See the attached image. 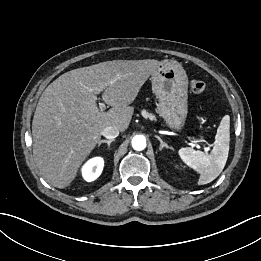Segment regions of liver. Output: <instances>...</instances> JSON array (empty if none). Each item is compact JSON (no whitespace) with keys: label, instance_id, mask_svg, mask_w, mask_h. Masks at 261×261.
Here are the masks:
<instances>
[{"label":"liver","instance_id":"liver-1","mask_svg":"<svg viewBox=\"0 0 261 261\" xmlns=\"http://www.w3.org/2000/svg\"><path fill=\"white\" fill-rule=\"evenodd\" d=\"M155 59L113 60L66 72L42 93L33 121V157L45 180L67 187L99 143L104 129L124 132L132 119L130 106L158 68ZM112 108L98 109L95 89Z\"/></svg>","mask_w":261,"mask_h":261}]
</instances>
